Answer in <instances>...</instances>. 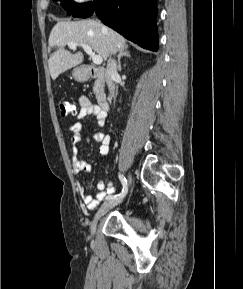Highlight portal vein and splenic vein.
<instances>
[{"mask_svg":"<svg viewBox=\"0 0 243 289\" xmlns=\"http://www.w3.org/2000/svg\"><path fill=\"white\" fill-rule=\"evenodd\" d=\"M68 46L71 49H75L77 46H81L84 51L92 58V61L95 65H100L103 62V58L100 55H96L90 46L83 44V43H77V42H69Z\"/></svg>","mask_w":243,"mask_h":289,"instance_id":"portal-vein-and-splenic-vein-1","label":"portal vein and splenic vein"}]
</instances>
